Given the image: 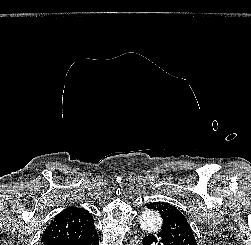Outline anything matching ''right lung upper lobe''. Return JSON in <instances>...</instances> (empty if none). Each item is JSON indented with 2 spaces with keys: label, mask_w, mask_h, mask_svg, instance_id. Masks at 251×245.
I'll use <instances>...</instances> for the list:
<instances>
[{
  "label": "right lung upper lobe",
  "mask_w": 251,
  "mask_h": 245,
  "mask_svg": "<svg viewBox=\"0 0 251 245\" xmlns=\"http://www.w3.org/2000/svg\"><path fill=\"white\" fill-rule=\"evenodd\" d=\"M96 232L90 213L79 207H68L60 212L46 228L41 242L53 245L68 240L88 238Z\"/></svg>",
  "instance_id": "obj_1"
}]
</instances>
